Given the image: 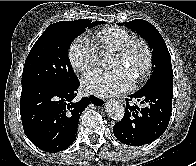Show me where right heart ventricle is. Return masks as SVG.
Masks as SVG:
<instances>
[{"label": "right heart ventricle", "instance_id": "right-heart-ventricle-1", "mask_svg": "<svg viewBox=\"0 0 196 166\" xmlns=\"http://www.w3.org/2000/svg\"><path fill=\"white\" fill-rule=\"evenodd\" d=\"M96 47L102 52H116L123 48L134 36L125 29L112 27L105 28L95 34Z\"/></svg>", "mask_w": 196, "mask_h": 166}]
</instances>
